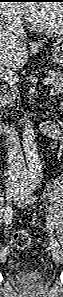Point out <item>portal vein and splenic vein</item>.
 Listing matches in <instances>:
<instances>
[{
    "label": "portal vein and splenic vein",
    "instance_id": "18ae733b",
    "mask_svg": "<svg viewBox=\"0 0 63 297\" xmlns=\"http://www.w3.org/2000/svg\"><path fill=\"white\" fill-rule=\"evenodd\" d=\"M4 80L8 81V82H12L15 80V77L12 74L6 75L5 77H3ZM53 82V78L51 77H47L44 79V84L45 85H49Z\"/></svg>",
    "mask_w": 63,
    "mask_h": 297
}]
</instances>
